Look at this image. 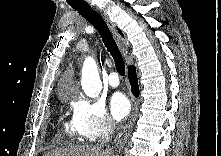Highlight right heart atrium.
<instances>
[{
  "instance_id": "d8ad5b80",
  "label": "right heart atrium",
  "mask_w": 221,
  "mask_h": 156,
  "mask_svg": "<svg viewBox=\"0 0 221 156\" xmlns=\"http://www.w3.org/2000/svg\"><path fill=\"white\" fill-rule=\"evenodd\" d=\"M72 124L82 141L94 142L111 134L115 124L103 104L84 96L72 102Z\"/></svg>"
}]
</instances>
